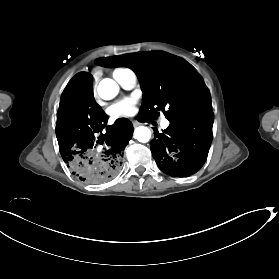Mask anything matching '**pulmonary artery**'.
I'll return each instance as SVG.
<instances>
[{
    "label": "pulmonary artery",
    "instance_id": "1",
    "mask_svg": "<svg viewBox=\"0 0 279 279\" xmlns=\"http://www.w3.org/2000/svg\"><path fill=\"white\" fill-rule=\"evenodd\" d=\"M113 76H116L119 79L121 87L125 90H131L136 85L137 80L133 72H129L124 76H121L116 72L113 73Z\"/></svg>",
    "mask_w": 279,
    "mask_h": 279
}]
</instances>
